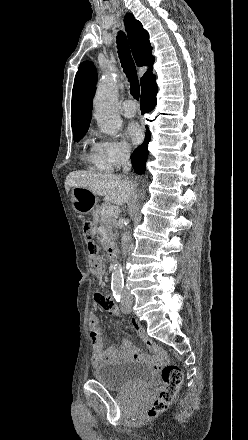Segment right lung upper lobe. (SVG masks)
<instances>
[{"label":"right lung upper lobe","mask_w":248,"mask_h":440,"mask_svg":"<svg viewBox=\"0 0 248 440\" xmlns=\"http://www.w3.org/2000/svg\"><path fill=\"white\" fill-rule=\"evenodd\" d=\"M125 29L132 54L138 66L149 65L150 69L141 78V87L155 80L152 74L154 57L149 42V34L131 13L124 18ZM97 74L93 63L83 62L76 73L72 91L71 125L73 133L88 130L91 121L92 98L95 93Z\"/></svg>","instance_id":"right-lung-upper-lobe-1"}]
</instances>
